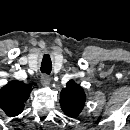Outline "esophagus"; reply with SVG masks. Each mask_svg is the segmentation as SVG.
Returning a JSON list of instances; mask_svg holds the SVG:
<instances>
[{
    "label": "esophagus",
    "instance_id": "1",
    "mask_svg": "<svg viewBox=\"0 0 130 130\" xmlns=\"http://www.w3.org/2000/svg\"><path fill=\"white\" fill-rule=\"evenodd\" d=\"M41 83H42L43 86L48 87L51 83L50 77L46 74L42 75Z\"/></svg>",
    "mask_w": 130,
    "mask_h": 130
}]
</instances>
